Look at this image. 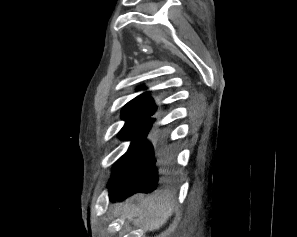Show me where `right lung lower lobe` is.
<instances>
[{"mask_svg":"<svg viewBox=\"0 0 297 237\" xmlns=\"http://www.w3.org/2000/svg\"><path fill=\"white\" fill-rule=\"evenodd\" d=\"M166 145L161 138L154 149L146 134L129 158L118 186L110 188V200L123 201L138 192L150 193L157 189L160 181L169 180L173 171Z\"/></svg>","mask_w":297,"mask_h":237,"instance_id":"98d812e1","label":"right lung lower lobe"}]
</instances>
